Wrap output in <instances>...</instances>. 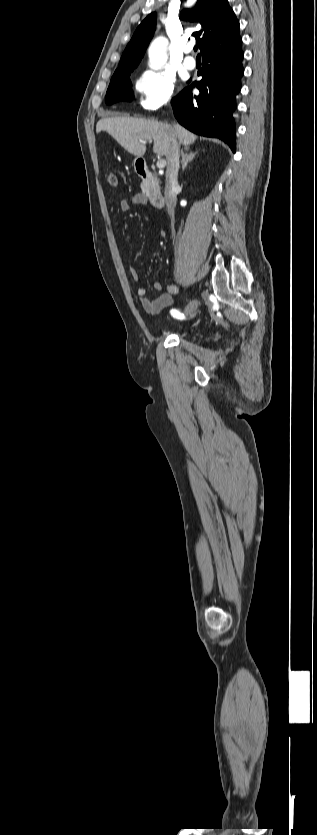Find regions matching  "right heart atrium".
Wrapping results in <instances>:
<instances>
[{"instance_id":"1","label":"right heart atrium","mask_w":317,"mask_h":835,"mask_svg":"<svg viewBox=\"0 0 317 835\" xmlns=\"http://www.w3.org/2000/svg\"><path fill=\"white\" fill-rule=\"evenodd\" d=\"M139 94V104L145 110H157L166 105L173 97L175 79L161 70H145L135 81Z\"/></svg>"}]
</instances>
